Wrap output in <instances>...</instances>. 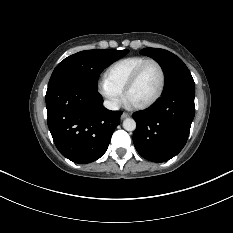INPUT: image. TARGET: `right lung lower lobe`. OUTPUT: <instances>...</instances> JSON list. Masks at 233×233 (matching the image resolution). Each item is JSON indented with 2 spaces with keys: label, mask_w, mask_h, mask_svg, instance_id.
Instances as JSON below:
<instances>
[{
  "label": "right lung lower lobe",
  "mask_w": 233,
  "mask_h": 233,
  "mask_svg": "<svg viewBox=\"0 0 233 233\" xmlns=\"http://www.w3.org/2000/svg\"><path fill=\"white\" fill-rule=\"evenodd\" d=\"M46 107L57 149L79 164L93 162L106 152L122 114L107 110L97 90L70 82L48 86Z\"/></svg>",
  "instance_id": "98d812e1"
}]
</instances>
